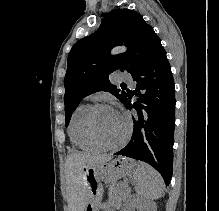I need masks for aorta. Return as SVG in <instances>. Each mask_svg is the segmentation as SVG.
Masks as SVG:
<instances>
[{"instance_id":"1","label":"aorta","mask_w":219,"mask_h":211,"mask_svg":"<svg viewBox=\"0 0 219 211\" xmlns=\"http://www.w3.org/2000/svg\"><path fill=\"white\" fill-rule=\"evenodd\" d=\"M124 50H125L124 47H119V48L114 49L113 53H121V52H123Z\"/></svg>"}]
</instances>
